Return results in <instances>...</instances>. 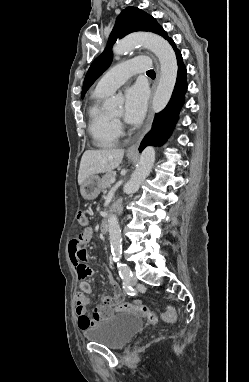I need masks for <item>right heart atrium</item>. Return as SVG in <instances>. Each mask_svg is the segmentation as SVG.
I'll use <instances>...</instances> for the list:
<instances>
[{"label":"right heart atrium","instance_id":"obj_1","mask_svg":"<svg viewBox=\"0 0 249 382\" xmlns=\"http://www.w3.org/2000/svg\"><path fill=\"white\" fill-rule=\"evenodd\" d=\"M116 126H117V129L120 131V130H121V124H120V122L116 121Z\"/></svg>","mask_w":249,"mask_h":382}]
</instances>
